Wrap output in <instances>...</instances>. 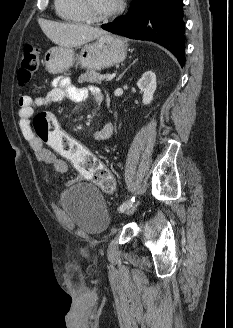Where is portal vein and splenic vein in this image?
I'll return each instance as SVG.
<instances>
[{"label": "portal vein and splenic vein", "mask_w": 233, "mask_h": 328, "mask_svg": "<svg viewBox=\"0 0 233 328\" xmlns=\"http://www.w3.org/2000/svg\"><path fill=\"white\" fill-rule=\"evenodd\" d=\"M115 73H113V74H111V75H108L107 77H106V81H111L114 77H115Z\"/></svg>", "instance_id": "obj_1"}]
</instances>
